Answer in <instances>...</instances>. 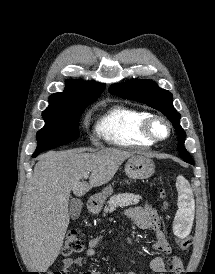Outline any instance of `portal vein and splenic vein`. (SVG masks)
I'll list each match as a JSON object with an SVG mask.
<instances>
[{"mask_svg":"<svg viewBox=\"0 0 215 274\" xmlns=\"http://www.w3.org/2000/svg\"><path fill=\"white\" fill-rule=\"evenodd\" d=\"M88 177H89V172H86V173L83 174L84 179H87Z\"/></svg>","mask_w":215,"mask_h":274,"instance_id":"1","label":"portal vein and splenic vein"}]
</instances>
